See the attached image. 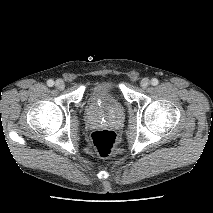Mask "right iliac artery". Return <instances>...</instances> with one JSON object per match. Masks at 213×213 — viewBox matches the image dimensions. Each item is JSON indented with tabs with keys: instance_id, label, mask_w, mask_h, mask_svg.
Instances as JSON below:
<instances>
[{
	"instance_id": "82829eb1",
	"label": "right iliac artery",
	"mask_w": 213,
	"mask_h": 213,
	"mask_svg": "<svg viewBox=\"0 0 213 213\" xmlns=\"http://www.w3.org/2000/svg\"><path fill=\"white\" fill-rule=\"evenodd\" d=\"M47 85H48L49 87H52V86L54 85V81H53L52 79H49V80L47 81Z\"/></svg>"
}]
</instances>
